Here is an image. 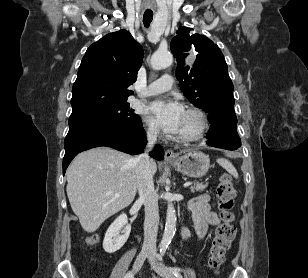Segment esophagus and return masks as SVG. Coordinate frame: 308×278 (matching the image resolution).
Wrapping results in <instances>:
<instances>
[{"label":"esophagus","instance_id":"1","mask_svg":"<svg viewBox=\"0 0 308 278\" xmlns=\"http://www.w3.org/2000/svg\"><path fill=\"white\" fill-rule=\"evenodd\" d=\"M175 158H176L175 153L171 149L166 150L165 161H173L175 160Z\"/></svg>","mask_w":308,"mask_h":278}]
</instances>
